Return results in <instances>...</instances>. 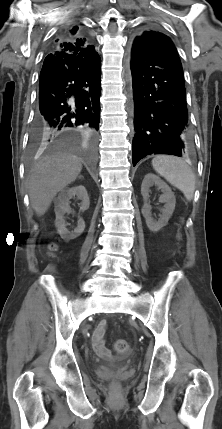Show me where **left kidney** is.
Masks as SVG:
<instances>
[{"mask_svg": "<svg viewBox=\"0 0 222 429\" xmlns=\"http://www.w3.org/2000/svg\"><path fill=\"white\" fill-rule=\"evenodd\" d=\"M153 185L161 189L163 194L160 196V202L165 203L164 208L161 209L162 215L158 221H154L152 219L151 206L147 203L149 197V188ZM141 194L144 200L142 214L146 220L147 227L149 230L157 232L167 224L169 218L171 217L176 204L175 196L170 187L158 176L152 173L145 175L141 185Z\"/></svg>", "mask_w": 222, "mask_h": 429, "instance_id": "left-kidney-1", "label": "left kidney"}]
</instances>
